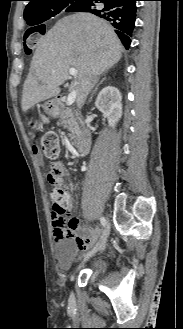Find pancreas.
I'll use <instances>...</instances> for the list:
<instances>
[{"label": "pancreas", "instance_id": "obj_1", "mask_svg": "<svg viewBox=\"0 0 183 329\" xmlns=\"http://www.w3.org/2000/svg\"><path fill=\"white\" fill-rule=\"evenodd\" d=\"M55 117L59 119L57 125H61L67 129L70 132V136L73 138L79 128V117L77 113L73 112L71 108H66L61 104Z\"/></svg>", "mask_w": 183, "mask_h": 329}]
</instances>
